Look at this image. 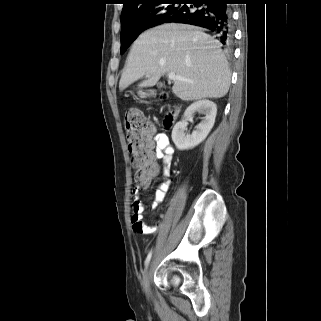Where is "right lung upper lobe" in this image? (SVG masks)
I'll return each instance as SVG.
<instances>
[{
    "label": "right lung upper lobe",
    "mask_w": 321,
    "mask_h": 321,
    "mask_svg": "<svg viewBox=\"0 0 321 321\" xmlns=\"http://www.w3.org/2000/svg\"><path fill=\"white\" fill-rule=\"evenodd\" d=\"M157 0H124V6L121 13V18L138 12L147 5Z\"/></svg>",
    "instance_id": "1"
}]
</instances>
